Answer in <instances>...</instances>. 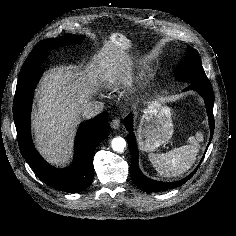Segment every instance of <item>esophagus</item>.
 Wrapping results in <instances>:
<instances>
[{"mask_svg":"<svg viewBox=\"0 0 236 236\" xmlns=\"http://www.w3.org/2000/svg\"><path fill=\"white\" fill-rule=\"evenodd\" d=\"M110 126L112 129L116 130L120 127V120L115 118L111 121Z\"/></svg>","mask_w":236,"mask_h":236,"instance_id":"esophagus-1","label":"esophagus"}]
</instances>
